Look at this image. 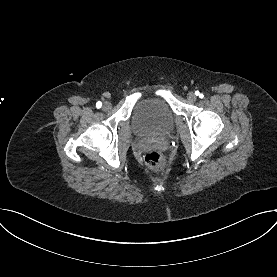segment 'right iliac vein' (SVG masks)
I'll use <instances>...</instances> for the list:
<instances>
[{
    "mask_svg": "<svg viewBox=\"0 0 277 277\" xmlns=\"http://www.w3.org/2000/svg\"><path fill=\"white\" fill-rule=\"evenodd\" d=\"M111 103L110 102H104V104H103V106H102V108H103V110H105V111H108V110H110L111 109Z\"/></svg>",
    "mask_w": 277,
    "mask_h": 277,
    "instance_id": "right-iliac-vein-1",
    "label": "right iliac vein"
}]
</instances>
